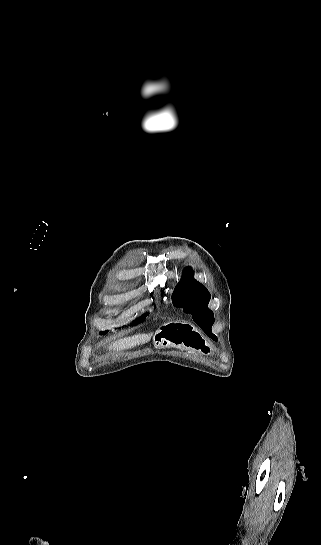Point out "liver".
<instances>
[{"label": "liver", "instance_id": "obj_1", "mask_svg": "<svg viewBox=\"0 0 321 545\" xmlns=\"http://www.w3.org/2000/svg\"><path fill=\"white\" fill-rule=\"evenodd\" d=\"M153 333L148 335H133V337H125V339H119L110 345L109 349H115V351H124V349H133L137 345H145L152 337Z\"/></svg>", "mask_w": 321, "mask_h": 545}]
</instances>
